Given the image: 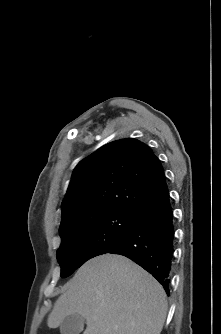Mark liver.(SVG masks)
Listing matches in <instances>:
<instances>
[{
    "label": "liver",
    "mask_w": 221,
    "mask_h": 334,
    "mask_svg": "<svg viewBox=\"0 0 221 334\" xmlns=\"http://www.w3.org/2000/svg\"><path fill=\"white\" fill-rule=\"evenodd\" d=\"M168 303L163 287L125 256L103 254L88 260L66 284L48 316L57 328L79 314L84 334H160Z\"/></svg>",
    "instance_id": "obj_1"
}]
</instances>
